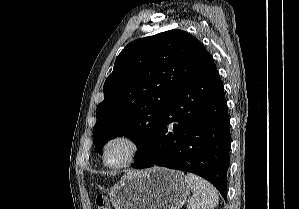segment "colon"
I'll use <instances>...</instances> for the list:
<instances>
[{"mask_svg":"<svg viewBox=\"0 0 299 209\" xmlns=\"http://www.w3.org/2000/svg\"><path fill=\"white\" fill-rule=\"evenodd\" d=\"M95 209H108L105 205H104V201L102 196L99 194L97 195L96 199H95Z\"/></svg>","mask_w":299,"mask_h":209,"instance_id":"obj_1","label":"colon"}]
</instances>
